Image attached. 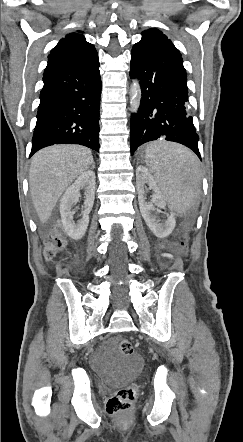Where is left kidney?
Wrapping results in <instances>:
<instances>
[{
  "mask_svg": "<svg viewBox=\"0 0 243 442\" xmlns=\"http://www.w3.org/2000/svg\"><path fill=\"white\" fill-rule=\"evenodd\" d=\"M136 184L138 191L139 208L143 219L155 236L159 238H165L166 235H170L175 228V214H170V216L164 223H159L156 215L152 212L156 210L155 206L168 207V205H170V202L162 195L161 191L157 187L155 180L146 167L139 166L137 168ZM146 185L155 190V194L152 195L151 202L145 201L144 194Z\"/></svg>",
  "mask_w": 243,
  "mask_h": 442,
  "instance_id": "left-kidney-1",
  "label": "left kidney"
}]
</instances>
